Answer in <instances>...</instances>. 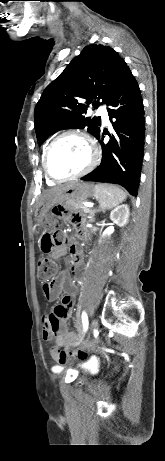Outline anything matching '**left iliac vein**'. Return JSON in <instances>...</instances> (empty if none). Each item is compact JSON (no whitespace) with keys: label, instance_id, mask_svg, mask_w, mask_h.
<instances>
[{"label":"left iliac vein","instance_id":"1","mask_svg":"<svg viewBox=\"0 0 165 461\" xmlns=\"http://www.w3.org/2000/svg\"><path fill=\"white\" fill-rule=\"evenodd\" d=\"M98 328L97 319H93L90 325L91 332H94Z\"/></svg>","mask_w":165,"mask_h":461}]
</instances>
